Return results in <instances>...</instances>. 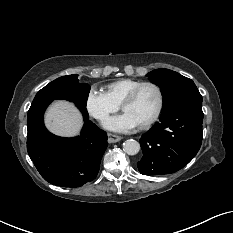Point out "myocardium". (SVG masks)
<instances>
[{
    "mask_svg": "<svg viewBox=\"0 0 233 233\" xmlns=\"http://www.w3.org/2000/svg\"><path fill=\"white\" fill-rule=\"evenodd\" d=\"M145 86H152L156 89L157 93H158V105L157 108L154 112V114L144 123L139 124V126L141 128H148L150 127L153 123L156 122V120L159 118L162 109H163V105H164V96H163V92L162 89L160 88V86L154 82H142L139 85H137L135 88H133L127 95L126 97L123 99V101L121 102L120 106L121 109L124 110L125 106L128 105L129 103H131L136 96L138 95L139 91L145 87Z\"/></svg>",
    "mask_w": 233,
    "mask_h": 233,
    "instance_id": "myocardium-1",
    "label": "myocardium"
}]
</instances>
